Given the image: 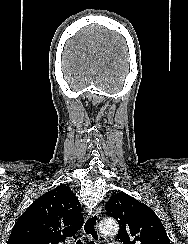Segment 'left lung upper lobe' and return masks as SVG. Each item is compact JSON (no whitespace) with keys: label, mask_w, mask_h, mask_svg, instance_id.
<instances>
[{"label":"left lung upper lobe","mask_w":188,"mask_h":244,"mask_svg":"<svg viewBox=\"0 0 188 244\" xmlns=\"http://www.w3.org/2000/svg\"><path fill=\"white\" fill-rule=\"evenodd\" d=\"M105 209L108 216L118 221L117 238L123 244H170L154 211L128 194L112 195Z\"/></svg>","instance_id":"1"}]
</instances>
